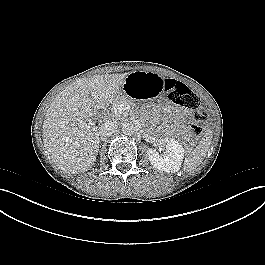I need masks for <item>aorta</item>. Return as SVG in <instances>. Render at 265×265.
<instances>
[{
	"label": "aorta",
	"instance_id": "aorta-1",
	"mask_svg": "<svg viewBox=\"0 0 265 265\" xmlns=\"http://www.w3.org/2000/svg\"><path fill=\"white\" fill-rule=\"evenodd\" d=\"M122 132H123V134L128 135V136L133 135V133H134L133 124L125 122L122 125Z\"/></svg>",
	"mask_w": 265,
	"mask_h": 265
}]
</instances>
